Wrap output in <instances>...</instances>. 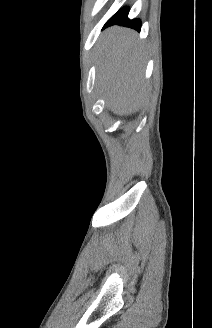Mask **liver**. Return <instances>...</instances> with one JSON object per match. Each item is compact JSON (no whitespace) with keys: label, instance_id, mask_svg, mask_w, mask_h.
<instances>
[{"label":"liver","instance_id":"1","mask_svg":"<svg viewBox=\"0 0 212 328\" xmlns=\"http://www.w3.org/2000/svg\"><path fill=\"white\" fill-rule=\"evenodd\" d=\"M145 51L136 32L112 27L99 47L98 79L115 114L137 110L144 95Z\"/></svg>","mask_w":212,"mask_h":328}]
</instances>
